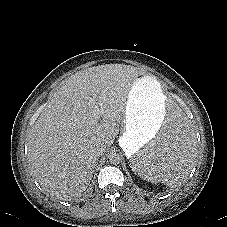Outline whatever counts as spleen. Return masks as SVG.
I'll return each instance as SVG.
<instances>
[{
  "label": "spleen",
  "instance_id": "obj_1",
  "mask_svg": "<svg viewBox=\"0 0 227 227\" xmlns=\"http://www.w3.org/2000/svg\"><path fill=\"white\" fill-rule=\"evenodd\" d=\"M196 160V139L188 118L178 106L166 111V119L158 133L129 159L131 170L152 183L167 186L182 183Z\"/></svg>",
  "mask_w": 227,
  "mask_h": 227
}]
</instances>
